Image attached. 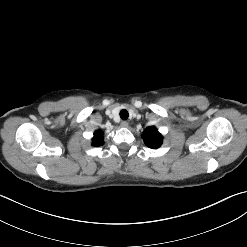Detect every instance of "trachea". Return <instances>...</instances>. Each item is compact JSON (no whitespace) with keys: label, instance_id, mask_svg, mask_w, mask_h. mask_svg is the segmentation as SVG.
<instances>
[{"label":"trachea","instance_id":"trachea-1","mask_svg":"<svg viewBox=\"0 0 247 247\" xmlns=\"http://www.w3.org/2000/svg\"><path fill=\"white\" fill-rule=\"evenodd\" d=\"M120 117H121V119H123V120L128 119V117H129L128 111L125 110V109H122V110L120 111Z\"/></svg>","mask_w":247,"mask_h":247}]
</instances>
